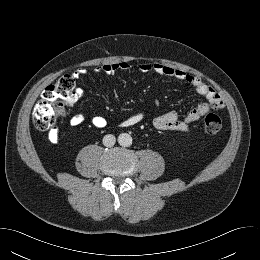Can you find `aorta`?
I'll list each match as a JSON object with an SVG mask.
<instances>
[{
    "label": "aorta",
    "instance_id": "1",
    "mask_svg": "<svg viewBox=\"0 0 260 260\" xmlns=\"http://www.w3.org/2000/svg\"><path fill=\"white\" fill-rule=\"evenodd\" d=\"M118 143L122 147H128L132 144V137L128 133H121L118 136Z\"/></svg>",
    "mask_w": 260,
    "mask_h": 260
}]
</instances>
